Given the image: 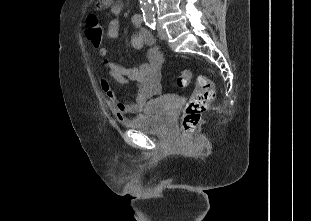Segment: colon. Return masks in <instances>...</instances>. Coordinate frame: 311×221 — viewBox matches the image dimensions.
Segmentation results:
<instances>
[{
    "label": "colon",
    "instance_id": "obj_1",
    "mask_svg": "<svg viewBox=\"0 0 311 221\" xmlns=\"http://www.w3.org/2000/svg\"><path fill=\"white\" fill-rule=\"evenodd\" d=\"M87 32L86 39H89L91 45L95 49L102 47L103 27L100 23L89 16L86 22ZM190 71H182L177 78V85L186 87L190 84ZM214 98L213 83L204 76L197 79V87L186 103L184 117L181 121L182 141H191V133L200 123L202 115L208 109L209 104Z\"/></svg>",
    "mask_w": 311,
    "mask_h": 221
}]
</instances>
